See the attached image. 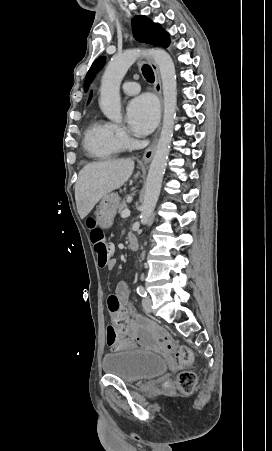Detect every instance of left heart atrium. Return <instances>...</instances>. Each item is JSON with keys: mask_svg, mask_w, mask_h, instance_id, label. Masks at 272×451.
<instances>
[{"mask_svg": "<svg viewBox=\"0 0 272 451\" xmlns=\"http://www.w3.org/2000/svg\"><path fill=\"white\" fill-rule=\"evenodd\" d=\"M157 116V103L152 96H141L128 106L127 121L131 130L136 134L149 133L156 124Z\"/></svg>", "mask_w": 272, "mask_h": 451, "instance_id": "1", "label": "left heart atrium"}]
</instances>
